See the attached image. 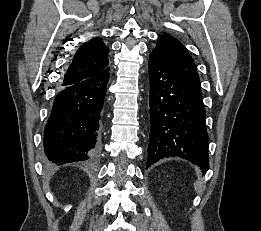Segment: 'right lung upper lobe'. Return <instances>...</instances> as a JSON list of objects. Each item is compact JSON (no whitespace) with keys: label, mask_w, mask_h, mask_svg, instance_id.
Listing matches in <instances>:
<instances>
[{"label":"right lung upper lobe","mask_w":261,"mask_h":231,"mask_svg":"<svg viewBox=\"0 0 261 231\" xmlns=\"http://www.w3.org/2000/svg\"><path fill=\"white\" fill-rule=\"evenodd\" d=\"M108 51L109 48L98 37L82 44L64 75L62 86L77 83L105 69L109 63Z\"/></svg>","instance_id":"cb5924a9"}]
</instances>
